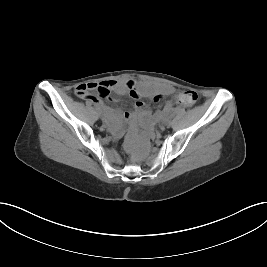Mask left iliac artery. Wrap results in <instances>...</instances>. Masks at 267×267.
<instances>
[{
    "label": "left iliac artery",
    "instance_id": "left-iliac-artery-1",
    "mask_svg": "<svg viewBox=\"0 0 267 267\" xmlns=\"http://www.w3.org/2000/svg\"><path fill=\"white\" fill-rule=\"evenodd\" d=\"M164 121H165V122H170V121H171V117H170V116L165 117V118H164Z\"/></svg>",
    "mask_w": 267,
    "mask_h": 267
}]
</instances>
